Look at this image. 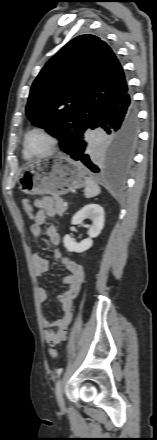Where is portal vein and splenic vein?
<instances>
[{
  "mask_svg": "<svg viewBox=\"0 0 157 440\" xmlns=\"http://www.w3.org/2000/svg\"><path fill=\"white\" fill-rule=\"evenodd\" d=\"M63 205H64V206H67V205H68V203H67V202H64V203H63Z\"/></svg>",
  "mask_w": 157,
  "mask_h": 440,
  "instance_id": "obj_1",
  "label": "portal vein and splenic vein"
}]
</instances>
